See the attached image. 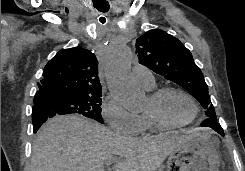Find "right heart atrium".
<instances>
[{
	"instance_id": "right-heart-atrium-1",
	"label": "right heart atrium",
	"mask_w": 245,
	"mask_h": 171,
	"mask_svg": "<svg viewBox=\"0 0 245 171\" xmlns=\"http://www.w3.org/2000/svg\"><path fill=\"white\" fill-rule=\"evenodd\" d=\"M102 116L110 129L118 134L134 136L142 130L140 115L128 111L112 97L103 102Z\"/></svg>"
}]
</instances>
